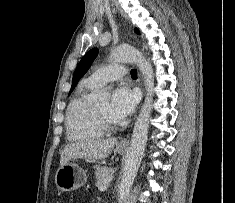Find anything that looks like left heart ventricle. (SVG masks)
<instances>
[{"instance_id": "b2bd125f", "label": "left heart ventricle", "mask_w": 235, "mask_h": 203, "mask_svg": "<svg viewBox=\"0 0 235 203\" xmlns=\"http://www.w3.org/2000/svg\"><path fill=\"white\" fill-rule=\"evenodd\" d=\"M109 105H110L109 102L105 101V102L99 103L97 106L107 116L108 119H110L113 122H116L109 114Z\"/></svg>"}]
</instances>
